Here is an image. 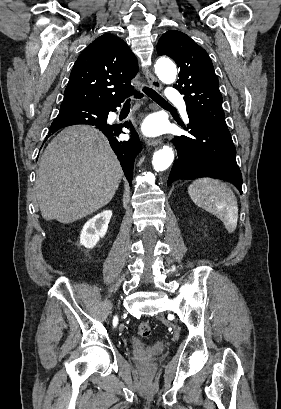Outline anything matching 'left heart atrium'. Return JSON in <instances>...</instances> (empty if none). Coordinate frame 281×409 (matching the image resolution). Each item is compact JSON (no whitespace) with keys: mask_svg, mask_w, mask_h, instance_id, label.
<instances>
[{"mask_svg":"<svg viewBox=\"0 0 281 409\" xmlns=\"http://www.w3.org/2000/svg\"><path fill=\"white\" fill-rule=\"evenodd\" d=\"M141 131L145 136H157L163 131V123L157 116H149L142 122Z\"/></svg>","mask_w":281,"mask_h":409,"instance_id":"left-heart-atrium-1","label":"left heart atrium"}]
</instances>
